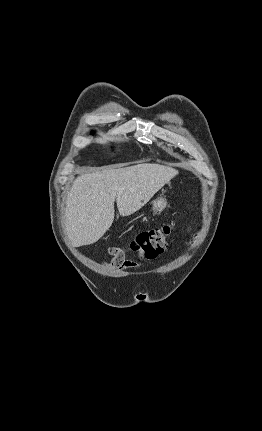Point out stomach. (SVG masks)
Here are the masks:
<instances>
[{"instance_id":"stomach-1","label":"stomach","mask_w":262,"mask_h":431,"mask_svg":"<svg viewBox=\"0 0 262 431\" xmlns=\"http://www.w3.org/2000/svg\"><path fill=\"white\" fill-rule=\"evenodd\" d=\"M167 206V200L165 197H158L153 201V210L155 212H161Z\"/></svg>"}]
</instances>
